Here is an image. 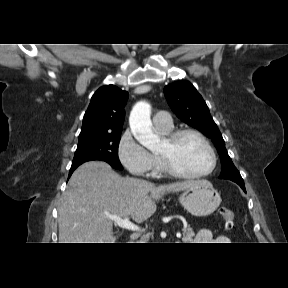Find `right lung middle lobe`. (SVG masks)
Wrapping results in <instances>:
<instances>
[{
	"instance_id": "right-lung-middle-lobe-1",
	"label": "right lung middle lobe",
	"mask_w": 288,
	"mask_h": 288,
	"mask_svg": "<svg viewBox=\"0 0 288 288\" xmlns=\"http://www.w3.org/2000/svg\"><path fill=\"white\" fill-rule=\"evenodd\" d=\"M120 135L121 132L79 140L72 166H79L87 161L102 160L113 168L122 170L118 158Z\"/></svg>"
}]
</instances>
